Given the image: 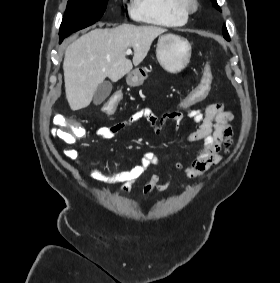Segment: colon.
<instances>
[{
	"label": "colon",
	"instance_id": "obj_1",
	"mask_svg": "<svg viewBox=\"0 0 280 283\" xmlns=\"http://www.w3.org/2000/svg\"><path fill=\"white\" fill-rule=\"evenodd\" d=\"M213 74L210 70L203 73L201 78L198 80L194 87L188 94H183L180 99L179 107H173V112H188V108H194V105H199V102H205L208 95H212V83L211 79ZM120 99H123V94H110V99H105V105L103 107L105 116H116L117 112L114 111ZM55 123L57 129L55 136L61 142L71 145L76 139L84 133L82 127L75 121L67 120L61 115L56 114Z\"/></svg>",
	"mask_w": 280,
	"mask_h": 283
}]
</instances>
